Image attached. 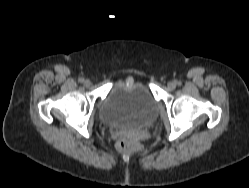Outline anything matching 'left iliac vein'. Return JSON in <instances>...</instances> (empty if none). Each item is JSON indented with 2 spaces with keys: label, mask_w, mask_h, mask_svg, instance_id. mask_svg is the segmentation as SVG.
I'll use <instances>...</instances> for the list:
<instances>
[{
  "label": "left iliac vein",
  "mask_w": 249,
  "mask_h": 188,
  "mask_svg": "<svg viewBox=\"0 0 249 188\" xmlns=\"http://www.w3.org/2000/svg\"><path fill=\"white\" fill-rule=\"evenodd\" d=\"M167 86H168V88H169L170 90H173V89L176 87L175 83H173V82H169V83L167 84Z\"/></svg>",
  "instance_id": "obj_1"
}]
</instances>
